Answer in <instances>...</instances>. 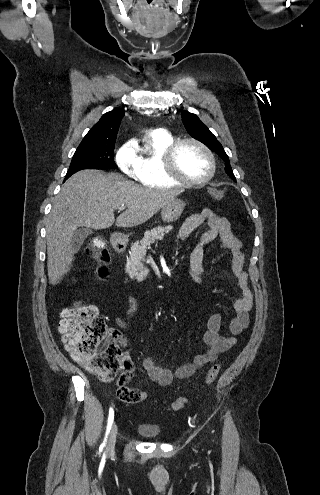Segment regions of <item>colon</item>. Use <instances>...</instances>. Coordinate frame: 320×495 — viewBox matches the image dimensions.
<instances>
[{"label":"colon","mask_w":320,"mask_h":495,"mask_svg":"<svg viewBox=\"0 0 320 495\" xmlns=\"http://www.w3.org/2000/svg\"><path fill=\"white\" fill-rule=\"evenodd\" d=\"M211 195L214 199L220 200L223 197V191L212 190ZM85 251L99 263L98 272L105 275L109 254L104 239L101 236L92 238L87 243ZM59 331L62 335V342L71 356L103 381H112L122 366H130V361L126 357L122 358L121 351L112 340L105 320L93 305L77 304L64 309L61 314ZM219 371L220 364L212 365L206 374V383H213ZM127 382V378L121 373L117 380L118 399L130 404L142 402L146 398V393L127 387ZM186 404L185 397H178L171 404V409L179 411Z\"/></svg>","instance_id":"colon-1"}]
</instances>
